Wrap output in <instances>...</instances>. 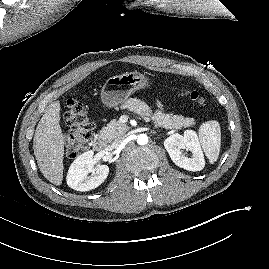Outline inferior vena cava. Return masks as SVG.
I'll return each instance as SVG.
<instances>
[{
  "label": "inferior vena cava",
  "mask_w": 269,
  "mask_h": 269,
  "mask_svg": "<svg viewBox=\"0 0 269 269\" xmlns=\"http://www.w3.org/2000/svg\"><path fill=\"white\" fill-rule=\"evenodd\" d=\"M123 139H124L123 137H120V138L116 139V140L112 143L113 148H117V147H119L120 144L122 143Z\"/></svg>",
  "instance_id": "1"
}]
</instances>
